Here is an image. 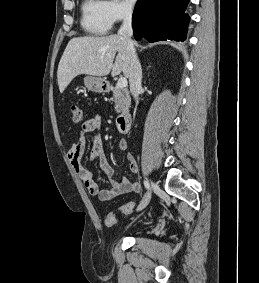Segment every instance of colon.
I'll return each mask as SVG.
<instances>
[{
    "label": "colon",
    "instance_id": "5ec220e1",
    "mask_svg": "<svg viewBox=\"0 0 259 283\" xmlns=\"http://www.w3.org/2000/svg\"><path fill=\"white\" fill-rule=\"evenodd\" d=\"M71 109H72V114H73L74 122H76V123L82 122L84 120V113H83L82 108L80 106H78V105H73ZM134 207H135V203L128 202V203L123 204L119 208V211L122 214H129V213L132 212ZM115 222H116V215H115V213L109 212L106 215V217H105V224L107 226H113L115 224Z\"/></svg>",
    "mask_w": 259,
    "mask_h": 283
}]
</instances>
